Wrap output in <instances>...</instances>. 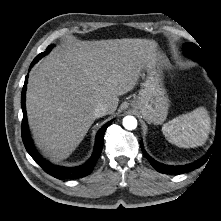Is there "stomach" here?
Segmentation results:
<instances>
[{
    "label": "stomach",
    "instance_id": "1",
    "mask_svg": "<svg viewBox=\"0 0 221 221\" xmlns=\"http://www.w3.org/2000/svg\"><path fill=\"white\" fill-rule=\"evenodd\" d=\"M147 75L137 96L130 102L149 123L162 124L167 117L170 101L163 83L160 60L146 67Z\"/></svg>",
    "mask_w": 221,
    "mask_h": 221
}]
</instances>
